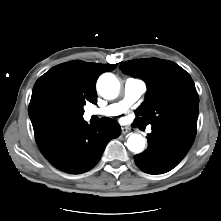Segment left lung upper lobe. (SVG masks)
<instances>
[{
	"label": "left lung upper lobe",
	"mask_w": 221,
	"mask_h": 221,
	"mask_svg": "<svg viewBox=\"0 0 221 221\" xmlns=\"http://www.w3.org/2000/svg\"><path fill=\"white\" fill-rule=\"evenodd\" d=\"M119 68L147 84L146 98L136 112V124H165L196 133L199 99L192 78L183 68L158 58L123 62Z\"/></svg>",
	"instance_id": "obj_1"
}]
</instances>
